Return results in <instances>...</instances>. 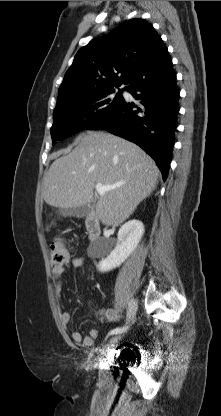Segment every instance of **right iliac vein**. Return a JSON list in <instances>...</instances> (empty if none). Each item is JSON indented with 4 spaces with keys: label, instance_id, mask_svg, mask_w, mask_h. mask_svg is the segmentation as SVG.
<instances>
[{
    "label": "right iliac vein",
    "instance_id": "63e3f726",
    "mask_svg": "<svg viewBox=\"0 0 221 416\" xmlns=\"http://www.w3.org/2000/svg\"><path fill=\"white\" fill-rule=\"evenodd\" d=\"M137 311V302L136 300H131L129 307H128V311H127V321L130 322L134 319L135 314ZM125 332V331H123ZM118 333L116 336H114L113 338H111L110 342L111 343H116L119 340H121V338L123 337L124 333Z\"/></svg>",
    "mask_w": 221,
    "mask_h": 416
}]
</instances>
